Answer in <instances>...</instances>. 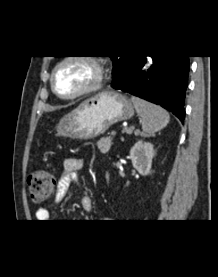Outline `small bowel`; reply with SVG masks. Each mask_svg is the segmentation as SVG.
<instances>
[{
	"mask_svg": "<svg viewBox=\"0 0 218 277\" xmlns=\"http://www.w3.org/2000/svg\"><path fill=\"white\" fill-rule=\"evenodd\" d=\"M84 161L77 157H68L63 161V171L58 179L54 195V202L59 203L67 195L71 182L76 180V173L83 168ZM81 205L84 210L89 211L92 207V199L88 192L84 191L81 197ZM51 213L48 208L41 207L36 211L38 222H47Z\"/></svg>",
	"mask_w": 218,
	"mask_h": 277,
	"instance_id": "c3829d8e",
	"label": "small bowel"
}]
</instances>
